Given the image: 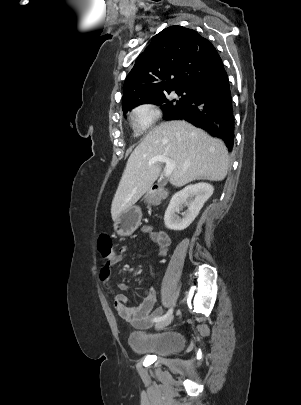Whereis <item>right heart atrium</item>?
Here are the masks:
<instances>
[{
    "mask_svg": "<svg viewBox=\"0 0 301 405\" xmlns=\"http://www.w3.org/2000/svg\"><path fill=\"white\" fill-rule=\"evenodd\" d=\"M160 116L161 112L156 105L144 103L133 109L131 119L138 130L144 131L151 127Z\"/></svg>",
    "mask_w": 301,
    "mask_h": 405,
    "instance_id": "right-heart-atrium-1",
    "label": "right heart atrium"
}]
</instances>
